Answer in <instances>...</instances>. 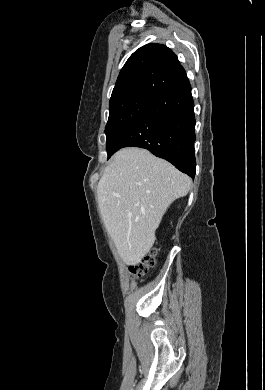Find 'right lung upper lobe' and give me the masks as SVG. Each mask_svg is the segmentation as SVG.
I'll use <instances>...</instances> for the list:
<instances>
[{
    "instance_id": "right-lung-upper-lobe-1",
    "label": "right lung upper lobe",
    "mask_w": 265,
    "mask_h": 390,
    "mask_svg": "<svg viewBox=\"0 0 265 390\" xmlns=\"http://www.w3.org/2000/svg\"><path fill=\"white\" fill-rule=\"evenodd\" d=\"M186 77L184 68L171 49L156 43L144 45L128 58L121 69L110 104L137 95L156 98Z\"/></svg>"
}]
</instances>
